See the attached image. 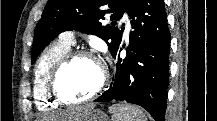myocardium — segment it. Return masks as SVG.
Segmentation results:
<instances>
[{
	"label": "myocardium",
	"instance_id": "f54148a6",
	"mask_svg": "<svg viewBox=\"0 0 217 121\" xmlns=\"http://www.w3.org/2000/svg\"><path fill=\"white\" fill-rule=\"evenodd\" d=\"M80 58H89L96 61L99 64L102 71L101 80L97 88L89 96L82 99L67 98L59 90V77L67 67H69L77 59ZM109 76L110 75L108 68L99 57H97L96 55L87 50H72L69 51L66 55H64V57H62L51 70L47 82L48 94L55 103L61 105L86 104L97 98L104 91L105 87L107 86Z\"/></svg>",
	"mask_w": 217,
	"mask_h": 121
}]
</instances>
